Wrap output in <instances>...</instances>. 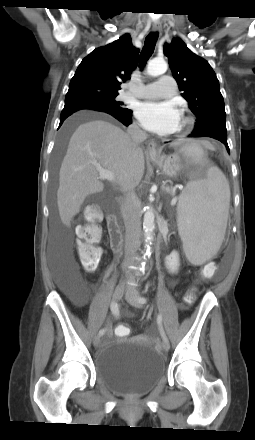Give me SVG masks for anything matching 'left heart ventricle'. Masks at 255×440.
<instances>
[{"mask_svg":"<svg viewBox=\"0 0 255 440\" xmlns=\"http://www.w3.org/2000/svg\"><path fill=\"white\" fill-rule=\"evenodd\" d=\"M181 123H182V121L180 120V123H179V126H178V128L181 126Z\"/></svg>","mask_w":255,"mask_h":440,"instance_id":"b2bd125f","label":"left heart ventricle"}]
</instances>
